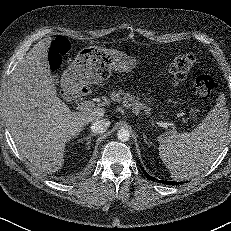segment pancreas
Listing matches in <instances>:
<instances>
[{
    "mask_svg": "<svg viewBox=\"0 0 231 231\" xmlns=\"http://www.w3.org/2000/svg\"><path fill=\"white\" fill-rule=\"evenodd\" d=\"M110 98L112 101L122 103V105L127 109L132 108L134 110H141L146 107L145 104L140 102L139 97H135L133 95H130L129 93H125L122 90H113L112 92H110Z\"/></svg>",
    "mask_w": 231,
    "mask_h": 231,
    "instance_id": "obj_1",
    "label": "pancreas"
}]
</instances>
